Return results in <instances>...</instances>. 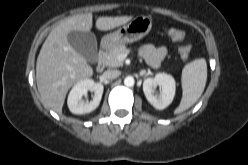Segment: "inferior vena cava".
<instances>
[{"mask_svg":"<svg viewBox=\"0 0 248 165\" xmlns=\"http://www.w3.org/2000/svg\"><path fill=\"white\" fill-rule=\"evenodd\" d=\"M121 72L119 70H107L103 73V76L107 79H115L119 77Z\"/></svg>","mask_w":248,"mask_h":165,"instance_id":"602c4592","label":"inferior vena cava"}]
</instances>
